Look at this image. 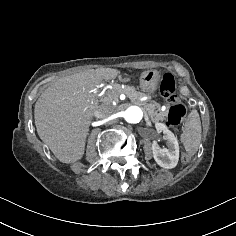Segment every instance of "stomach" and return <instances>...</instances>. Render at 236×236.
Returning <instances> with one entry per match:
<instances>
[{"instance_id": "obj_1", "label": "stomach", "mask_w": 236, "mask_h": 236, "mask_svg": "<svg viewBox=\"0 0 236 236\" xmlns=\"http://www.w3.org/2000/svg\"><path fill=\"white\" fill-rule=\"evenodd\" d=\"M159 74L156 70L145 71L140 76V88L148 93H154L159 84Z\"/></svg>"}]
</instances>
